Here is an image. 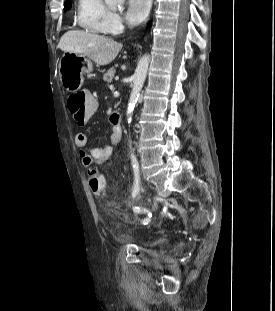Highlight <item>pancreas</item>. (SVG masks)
Instances as JSON below:
<instances>
[{
	"label": "pancreas",
	"instance_id": "1",
	"mask_svg": "<svg viewBox=\"0 0 275 311\" xmlns=\"http://www.w3.org/2000/svg\"><path fill=\"white\" fill-rule=\"evenodd\" d=\"M115 74V69L111 68L109 69L103 76V80L107 83H110L113 80Z\"/></svg>",
	"mask_w": 275,
	"mask_h": 311
}]
</instances>
